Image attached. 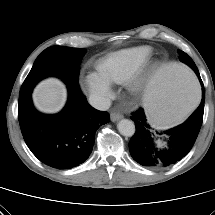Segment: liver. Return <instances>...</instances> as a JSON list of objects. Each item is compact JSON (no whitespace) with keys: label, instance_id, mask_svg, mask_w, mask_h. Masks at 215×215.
Wrapping results in <instances>:
<instances>
[{"label":"liver","instance_id":"1","mask_svg":"<svg viewBox=\"0 0 215 215\" xmlns=\"http://www.w3.org/2000/svg\"><path fill=\"white\" fill-rule=\"evenodd\" d=\"M66 88L61 81L49 78L39 83L33 92V102L44 113H56L64 106Z\"/></svg>","mask_w":215,"mask_h":215}]
</instances>
